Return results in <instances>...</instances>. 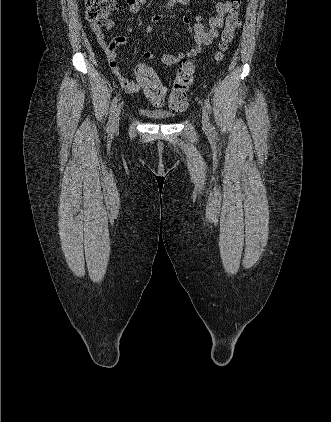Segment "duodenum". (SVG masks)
<instances>
[{
	"mask_svg": "<svg viewBox=\"0 0 331 422\" xmlns=\"http://www.w3.org/2000/svg\"><path fill=\"white\" fill-rule=\"evenodd\" d=\"M169 2H174V1H176V0H168Z\"/></svg>",
	"mask_w": 331,
	"mask_h": 422,
	"instance_id": "410a0bca",
	"label": "duodenum"
}]
</instances>
